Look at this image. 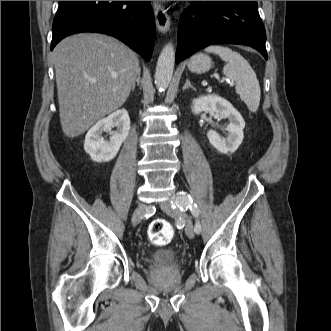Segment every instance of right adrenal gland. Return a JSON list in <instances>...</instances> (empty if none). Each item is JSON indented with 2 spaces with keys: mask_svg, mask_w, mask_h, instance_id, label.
<instances>
[{
  "mask_svg": "<svg viewBox=\"0 0 331 331\" xmlns=\"http://www.w3.org/2000/svg\"><path fill=\"white\" fill-rule=\"evenodd\" d=\"M139 82H140V73L137 75V78L135 79V82L132 86V91H134L136 83H137V85H139Z\"/></svg>",
  "mask_w": 331,
  "mask_h": 331,
  "instance_id": "2a0ac1e0",
  "label": "right adrenal gland"
}]
</instances>
